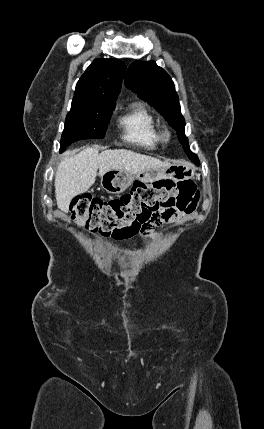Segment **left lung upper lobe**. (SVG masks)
<instances>
[{
	"instance_id": "left-lung-upper-lobe-1",
	"label": "left lung upper lobe",
	"mask_w": 264,
	"mask_h": 429,
	"mask_svg": "<svg viewBox=\"0 0 264 429\" xmlns=\"http://www.w3.org/2000/svg\"><path fill=\"white\" fill-rule=\"evenodd\" d=\"M125 83L138 94V97L151 104L177 131L179 141L187 155H194L189 150L188 140L184 134L185 121L170 76L155 62L135 61L128 68Z\"/></svg>"
}]
</instances>
